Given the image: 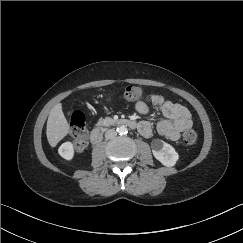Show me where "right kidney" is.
Returning a JSON list of instances; mask_svg holds the SVG:
<instances>
[{
	"mask_svg": "<svg viewBox=\"0 0 243 243\" xmlns=\"http://www.w3.org/2000/svg\"><path fill=\"white\" fill-rule=\"evenodd\" d=\"M59 155L66 159V160H72L74 157V147L71 142H65L63 143L59 149H58Z\"/></svg>",
	"mask_w": 243,
	"mask_h": 243,
	"instance_id": "obj_1",
	"label": "right kidney"
}]
</instances>
